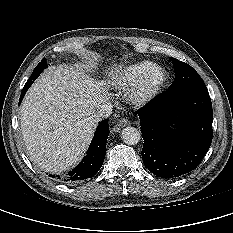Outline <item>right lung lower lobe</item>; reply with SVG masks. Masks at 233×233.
Wrapping results in <instances>:
<instances>
[{"mask_svg":"<svg viewBox=\"0 0 233 233\" xmlns=\"http://www.w3.org/2000/svg\"><path fill=\"white\" fill-rule=\"evenodd\" d=\"M34 81L26 82L19 103L22 101L26 91ZM109 135L108 119L101 121L96 129L93 140L84 159L67 175L58 177L65 183L77 182L86 178L93 177L101 168L106 154V142ZM52 177V175H50Z\"/></svg>","mask_w":233,"mask_h":233,"instance_id":"obj_1","label":"right lung lower lobe"}]
</instances>
